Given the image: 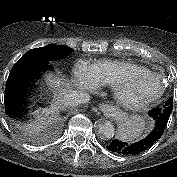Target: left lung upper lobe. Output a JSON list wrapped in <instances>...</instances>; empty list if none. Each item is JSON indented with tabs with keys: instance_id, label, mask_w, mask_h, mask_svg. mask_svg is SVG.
Here are the masks:
<instances>
[{
	"instance_id": "5c2ea615",
	"label": "left lung upper lobe",
	"mask_w": 177,
	"mask_h": 177,
	"mask_svg": "<svg viewBox=\"0 0 177 177\" xmlns=\"http://www.w3.org/2000/svg\"><path fill=\"white\" fill-rule=\"evenodd\" d=\"M165 106H171L170 109L173 108V98H172V97H170V98L165 102V104L163 105V107H165Z\"/></svg>"
}]
</instances>
